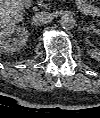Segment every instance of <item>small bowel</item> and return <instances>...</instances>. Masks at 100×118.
Returning <instances> with one entry per match:
<instances>
[{
  "instance_id": "1",
  "label": "small bowel",
  "mask_w": 100,
  "mask_h": 118,
  "mask_svg": "<svg viewBox=\"0 0 100 118\" xmlns=\"http://www.w3.org/2000/svg\"><path fill=\"white\" fill-rule=\"evenodd\" d=\"M77 1V6L82 10V11H85V12H89V13H92L93 10H92V6H90L86 0H76Z\"/></svg>"
}]
</instances>
